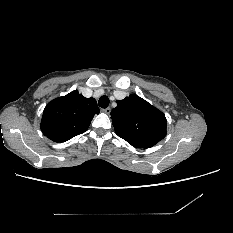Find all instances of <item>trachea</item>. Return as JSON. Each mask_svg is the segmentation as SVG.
Masks as SVG:
<instances>
[{"label":"trachea","instance_id":"obj_1","mask_svg":"<svg viewBox=\"0 0 233 233\" xmlns=\"http://www.w3.org/2000/svg\"><path fill=\"white\" fill-rule=\"evenodd\" d=\"M110 101H109V98L107 96H101L98 100V105L101 107V108H107L108 105H109Z\"/></svg>","mask_w":233,"mask_h":233}]
</instances>
